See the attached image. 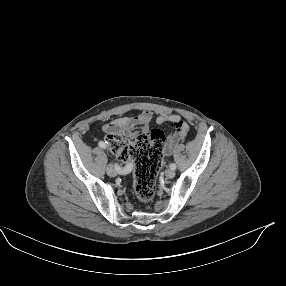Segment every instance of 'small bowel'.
<instances>
[{
    "label": "small bowel",
    "mask_w": 286,
    "mask_h": 286,
    "mask_svg": "<svg viewBox=\"0 0 286 286\" xmlns=\"http://www.w3.org/2000/svg\"><path fill=\"white\" fill-rule=\"evenodd\" d=\"M153 121H155L157 125L170 123L175 127V132L169 135L165 145V154L171 155L175 147L184 140L189 131V126L183 122V118L179 114L161 113L154 118L150 111L144 110L136 116L114 118L105 123L102 129L107 136L110 134H118L126 138H133L138 133H147ZM131 167V164H128L125 167V172L129 171Z\"/></svg>",
    "instance_id": "1"
}]
</instances>
